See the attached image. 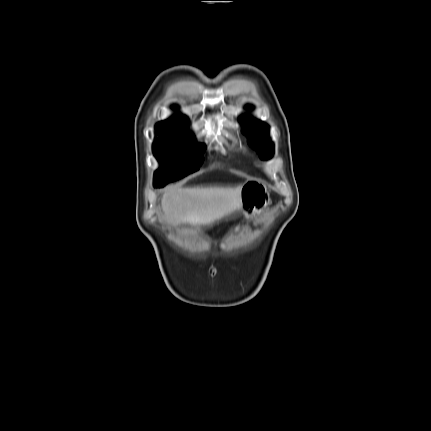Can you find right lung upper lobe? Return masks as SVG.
<instances>
[{
    "mask_svg": "<svg viewBox=\"0 0 431 431\" xmlns=\"http://www.w3.org/2000/svg\"><path fill=\"white\" fill-rule=\"evenodd\" d=\"M157 127L171 128V129H180L187 131L188 128V120L183 115H176L168 120L160 122Z\"/></svg>",
    "mask_w": 431,
    "mask_h": 431,
    "instance_id": "1",
    "label": "right lung upper lobe"
}]
</instances>
